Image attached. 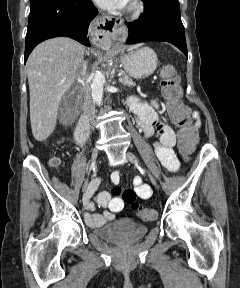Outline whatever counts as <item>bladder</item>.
Returning a JSON list of instances; mask_svg holds the SVG:
<instances>
[{
    "label": "bladder",
    "instance_id": "bladder-1",
    "mask_svg": "<svg viewBox=\"0 0 240 288\" xmlns=\"http://www.w3.org/2000/svg\"><path fill=\"white\" fill-rule=\"evenodd\" d=\"M148 229L144 225H132L125 238L128 240H136L143 237L147 233ZM96 234L107 240H120L122 237L118 232V227L116 225H107L98 228Z\"/></svg>",
    "mask_w": 240,
    "mask_h": 288
}]
</instances>
